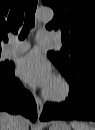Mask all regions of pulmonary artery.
<instances>
[{"mask_svg": "<svg viewBox=\"0 0 95 130\" xmlns=\"http://www.w3.org/2000/svg\"><path fill=\"white\" fill-rule=\"evenodd\" d=\"M36 40L38 43H49L55 40L54 34L48 31H39ZM30 48L28 42H18L13 43L10 46L6 47L4 50V56L7 58H11L17 56Z\"/></svg>", "mask_w": 95, "mask_h": 130, "instance_id": "pulmonary-artery-1", "label": "pulmonary artery"}]
</instances>
